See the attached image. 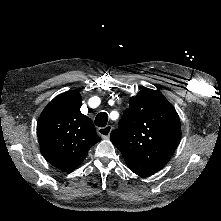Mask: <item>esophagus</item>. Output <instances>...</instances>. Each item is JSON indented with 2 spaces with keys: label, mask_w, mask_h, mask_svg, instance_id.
Listing matches in <instances>:
<instances>
[{
  "label": "esophagus",
  "mask_w": 221,
  "mask_h": 221,
  "mask_svg": "<svg viewBox=\"0 0 221 221\" xmlns=\"http://www.w3.org/2000/svg\"><path fill=\"white\" fill-rule=\"evenodd\" d=\"M113 127L111 125H107L105 127H101L97 129V133L103 138V139H109L110 133L112 131Z\"/></svg>",
  "instance_id": "esophagus-1"
}]
</instances>
